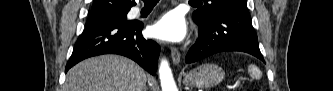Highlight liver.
Returning a JSON list of instances; mask_svg holds the SVG:
<instances>
[{"instance_id":"liver-1","label":"liver","mask_w":333,"mask_h":91,"mask_svg":"<svg viewBox=\"0 0 333 91\" xmlns=\"http://www.w3.org/2000/svg\"><path fill=\"white\" fill-rule=\"evenodd\" d=\"M146 82L147 73L132 60L102 55L71 68L64 91H144Z\"/></svg>"}]
</instances>
